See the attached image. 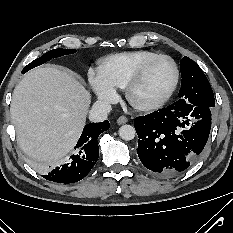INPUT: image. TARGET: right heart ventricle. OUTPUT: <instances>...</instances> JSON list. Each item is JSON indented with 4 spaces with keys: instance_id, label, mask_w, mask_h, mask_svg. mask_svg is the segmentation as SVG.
<instances>
[{
    "instance_id": "obj_1",
    "label": "right heart ventricle",
    "mask_w": 233,
    "mask_h": 233,
    "mask_svg": "<svg viewBox=\"0 0 233 233\" xmlns=\"http://www.w3.org/2000/svg\"><path fill=\"white\" fill-rule=\"evenodd\" d=\"M156 54L149 50L116 53L106 57L99 69L109 85L114 88H124L133 71L143 61Z\"/></svg>"
}]
</instances>
